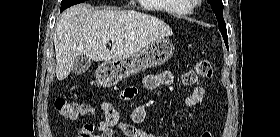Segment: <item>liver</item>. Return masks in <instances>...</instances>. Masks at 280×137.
Segmentation results:
<instances>
[{"instance_id": "obj_1", "label": "liver", "mask_w": 280, "mask_h": 137, "mask_svg": "<svg viewBox=\"0 0 280 137\" xmlns=\"http://www.w3.org/2000/svg\"><path fill=\"white\" fill-rule=\"evenodd\" d=\"M172 35L164 21L133 10H92L78 4L65 10L55 26L56 77H68L79 55L110 61L138 53L149 44ZM112 41L111 50L106 47Z\"/></svg>"}]
</instances>
